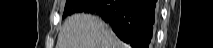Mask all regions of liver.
<instances>
[{"mask_svg":"<svg viewBox=\"0 0 213 48\" xmlns=\"http://www.w3.org/2000/svg\"><path fill=\"white\" fill-rule=\"evenodd\" d=\"M56 48H126L107 24L91 14H75L60 29Z\"/></svg>","mask_w":213,"mask_h":48,"instance_id":"liver-1","label":"liver"}]
</instances>
